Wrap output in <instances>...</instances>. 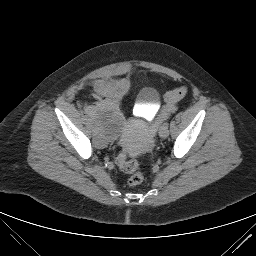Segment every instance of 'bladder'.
Masks as SVG:
<instances>
[{"label":"bladder","instance_id":"bladder-1","mask_svg":"<svg viewBox=\"0 0 256 256\" xmlns=\"http://www.w3.org/2000/svg\"><path fill=\"white\" fill-rule=\"evenodd\" d=\"M105 90L117 88L113 82L104 81ZM160 95L157 89L153 87H145L140 93V101L143 104H155L159 101ZM93 123L95 126L96 136L101 144L118 140L122 133V115L118 108L109 104H99L90 107Z\"/></svg>","mask_w":256,"mask_h":256}]
</instances>
